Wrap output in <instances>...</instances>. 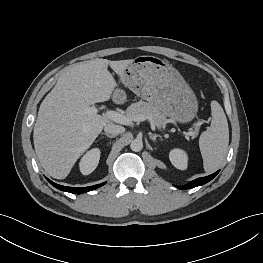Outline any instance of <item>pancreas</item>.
<instances>
[{"label":"pancreas","instance_id":"pancreas-1","mask_svg":"<svg viewBox=\"0 0 263 263\" xmlns=\"http://www.w3.org/2000/svg\"><path fill=\"white\" fill-rule=\"evenodd\" d=\"M126 115L133 120L138 116L148 117L158 128H164L167 123L166 116L158 108L144 101L131 104L126 110ZM193 132L196 135L198 128L196 127Z\"/></svg>","mask_w":263,"mask_h":263}]
</instances>
